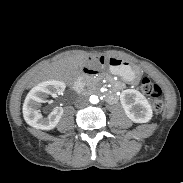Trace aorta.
<instances>
[{
  "label": "aorta",
  "instance_id": "1",
  "mask_svg": "<svg viewBox=\"0 0 183 183\" xmlns=\"http://www.w3.org/2000/svg\"><path fill=\"white\" fill-rule=\"evenodd\" d=\"M90 102L92 104H97L99 102L98 96H96V95L90 96Z\"/></svg>",
  "mask_w": 183,
  "mask_h": 183
}]
</instances>
